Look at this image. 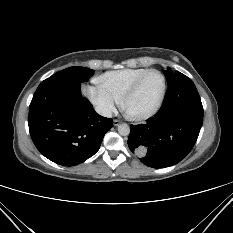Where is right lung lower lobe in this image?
Segmentation results:
<instances>
[{
  "label": "right lung lower lobe",
  "mask_w": 233,
  "mask_h": 233,
  "mask_svg": "<svg viewBox=\"0 0 233 233\" xmlns=\"http://www.w3.org/2000/svg\"><path fill=\"white\" fill-rule=\"evenodd\" d=\"M80 83L47 78L37 88L29 107L31 138L49 160L74 166L93 156L105 133L113 126L110 118L97 114L81 96Z\"/></svg>",
  "instance_id": "1"
}]
</instances>
